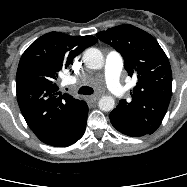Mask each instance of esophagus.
<instances>
[{"instance_id": "esophagus-1", "label": "esophagus", "mask_w": 187, "mask_h": 187, "mask_svg": "<svg viewBox=\"0 0 187 187\" xmlns=\"http://www.w3.org/2000/svg\"><path fill=\"white\" fill-rule=\"evenodd\" d=\"M100 98V95H92V96H88V101L89 102H95Z\"/></svg>"}]
</instances>
